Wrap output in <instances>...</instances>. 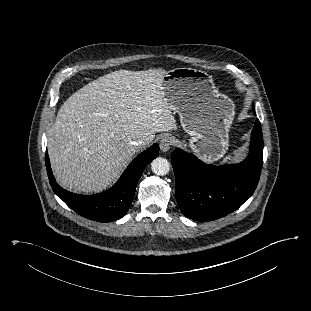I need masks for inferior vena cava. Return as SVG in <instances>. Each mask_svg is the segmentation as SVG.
<instances>
[{"label": "inferior vena cava", "mask_w": 311, "mask_h": 311, "mask_svg": "<svg viewBox=\"0 0 311 311\" xmlns=\"http://www.w3.org/2000/svg\"><path fill=\"white\" fill-rule=\"evenodd\" d=\"M147 141H148V138L142 137V138L132 140L130 143L131 145L138 147V146L145 144Z\"/></svg>", "instance_id": "1"}]
</instances>
